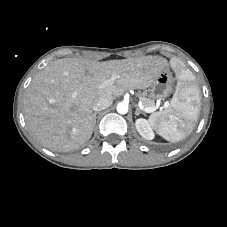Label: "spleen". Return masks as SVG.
<instances>
[{
  "instance_id": "spleen-1",
  "label": "spleen",
  "mask_w": 227,
  "mask_h": 227,
  "mask_svg": "<svg viewBox=\"0 0 227 227\" xmlns=\"http://www.w3.org/2000/svg\"><path fill=\"white\" fill-rule=\"evenodd\" d=\"M178 74L177 90L167 112L153 114L150 125L164 139L172 142L183 140L193 129L200 111V91L194 83L195 77L178 61L171 62Z\"/></svg>"
}]
</instances>
